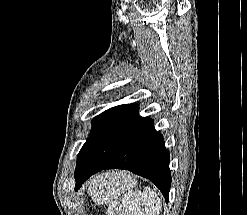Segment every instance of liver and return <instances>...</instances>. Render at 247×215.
Here are the masks:
<instances>
[{"mask_svg":"<svg viewBox=\"0 0 247 215\" xmlns=\"http://www.w3.org/2000/svg\"><path fill=\"white\" fill-rule=\"evenodd\" d=\"M119 175H120V177H122V176H124V173H120Z\"/></svg>","mask_w":247,"mask_h":215,"instance_id":"liver-1","label":"liver"}]
</instances>
